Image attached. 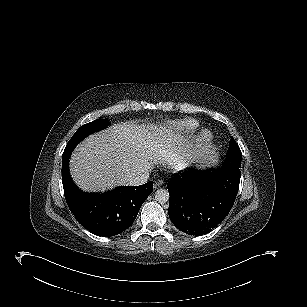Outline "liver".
I'll list each match as a JSON object with an SVG mask.
<instances>
[{
  "mask_svg": "<svg viewBox=\"0 0 307 307\" xmlns=\"http://www.w3.org/2000/svg\"><path fill=\"white\" fill-rule=\"evenodd\" d=\"M178 145V146H175ZM180 143H164L154 133L125 122L95 133L82 141L70 158V174L84 191H105L128 185L131 176L148 171ZM208 164V151L197 155Z\"/></svg>",
  "mask_w": 307,
  "mask_h": 307,
  "instance_id": "obj_1",
  "label": "liver"
}]
</instances>
